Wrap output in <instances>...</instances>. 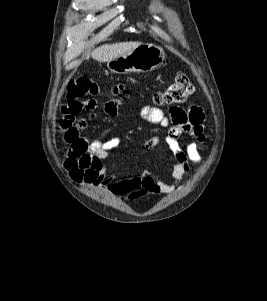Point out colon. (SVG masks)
<instances>
[{"mask_svg": "<svg viewBox=\"0 0 267 301\" xmlns=\"http://www.w3.org/2000/svg\"><path fill=\"white\" fill-rule=\"evenodd\" d=\"M193 91L190 80L186 76L180 75L166 90L156 93L153 100L160 105H178L184 103ZM99 93L100 87L97 83L88 77H79L68 84L67 100L96 96Z\"/></svg>", "mask_w": 267, "mask_h": 301, "instance_id": "5ec220e1", "label": "colon"}]
</instances>
